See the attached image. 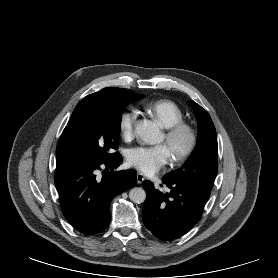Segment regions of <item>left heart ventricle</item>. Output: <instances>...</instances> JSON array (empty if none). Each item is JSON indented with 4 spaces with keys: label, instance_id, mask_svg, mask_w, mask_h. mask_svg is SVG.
Returning <instances> with one entry per match:
<instances>
[{
    "label": "left heart ventricle",
    "instance_id": "b2bd125f",
    "mask_svg": "<svg viewBox=\"0 0 278 278\" xmlns=\"http://www.w3.org/2000/svg\"><path fill=\"white\" fill-rule=\"evenodd\" d=\"M162 142H164V146L167 148L169 154L172 155L173 150H174L175 148H180L181 146H183L185 140H184V139H180V140L177 141V142L175 143V145H173V146L166 145V144H165V141H164V138L162 139Z\"/></svg>",
    "mask_w": 278,
    "mask_h": 278
}]
</instances>
